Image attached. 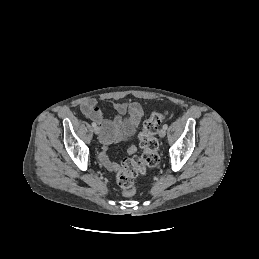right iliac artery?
Wrapping results in <instances>:
<instances>
[{
  "label": "right iliac artery",
  "mask_w": 259,
  "mask_h": 259,
  "mask_svg": "<svg viewBox=\"0 0 259 259\" xmlns=\"http://www.w3.org/2000/svg\"><path fill=\"white\" fill-rule=\"evenodd\" d=\"M96 126H97L96 123L93 122V123H92V127H96Z\"/></svg>",
  "instance_id": "right-iliac-artery-1"
}]
</instances>
